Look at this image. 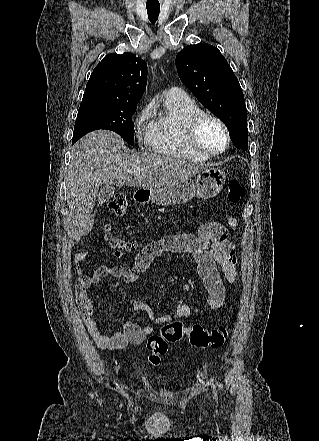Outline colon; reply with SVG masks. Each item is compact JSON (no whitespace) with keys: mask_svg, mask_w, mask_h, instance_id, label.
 <instances>
[{"mask_svg":"<svg viewBox=\"0 0 319 441\" xmlns=\"http://www.w3.org/2000/svg\"><path fill=\"white\" fill-rule=\"evenodd\" d=\"M245 193L242 184L237 180L228 183L226 201L228 204L238 203ZM127 201L122 193H116L108 203V211L114 215L124 214ZM106 240L115 248L114 255L120 257L125 252L135 249L136 242L122 239L113 234L109 229L105 235ZM189 337L191 345L202 349H218L222 347L228 338V328L224 325L207 330L201 325H194L184 331L180 320H170L161 327L158 334L151 335L147 340V348L151 352L149 361L153 365H159L161 358L166 354L168 344L177 342L184 334Z\"/></svg>","mask_w":319,"mask_h":441,"instance_id":"1","label":"colon"}]
</instances>
